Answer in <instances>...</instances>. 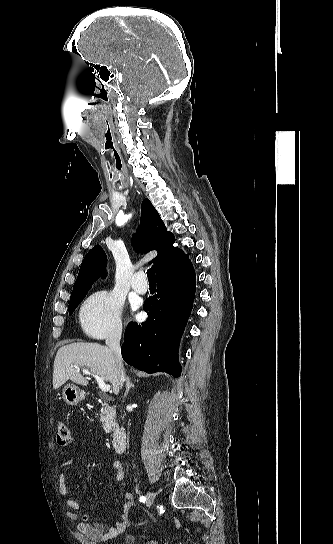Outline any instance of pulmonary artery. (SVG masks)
Masks as SVG:
<instances>
[{
  "mask_svg": "<svg viewBox=\"0 0 333 544\" xmlns=\"http://www.w3.org/2000/svg\"><path fill=\"white\" fill-rule=\"evenodd\" d=\"M132 288L140 293L144 294L148 291V283L143 272H137L132 278Z\"/></svg>",
  "mask_w": 333,
  "mask_h": 544,
  "instance_id": "e3ab8cb5",
  "label": "pulmonary artery"
}]
</instances>
